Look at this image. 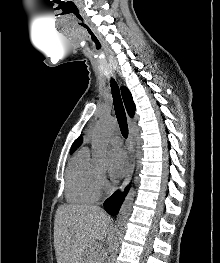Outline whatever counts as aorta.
Here are the masks:
<instances>
[{
	"instance_id": "1",
	"label": "aorta",
	"mask_w": 220,
	"mask_h": 263,
	"mask_svg": "<svg viewBox=\"0 0 220 263\" xmlns=\"http://www.w3.org/2000/svg\"><path fill=\"white\" fill-rule=\"evenodd\" d=\"M115 128L116 122L114 119L110 117H102L94 129L92 137L94 163L101 169L107 166V139ZM134 196L135 190L134 188H131L118 213L116 226L114 228L110 242L111 257H114L118 250L123 232L126 228L127 220L132 209Z\"/></svg>"
}]
</instances>
